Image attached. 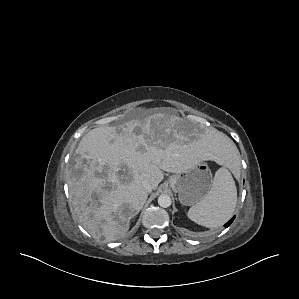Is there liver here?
Wrapping results in <instances>:
<instances>
[{
    "label": "liver",
    "instance_id": "liver-1",
    "mask_svg": "<svg viewBox=\"0 0 299 299\" xmlns=\"http://www.w3.org/2000/svg\"><path fill=\"white\" fill-rule=\"evenodd\" d=\"M234 151L225 134L215 129L196 133L183 119L165 113L128 121L121 131L92 129L81 139L68 174L73 211L91 235L115 241L148 197L144 180L156 190L163 171L185 172L205 160L224 164Z\"/></svg>",
    "mask_w": 299,
    "mask_h": 299
}]
</instances>
